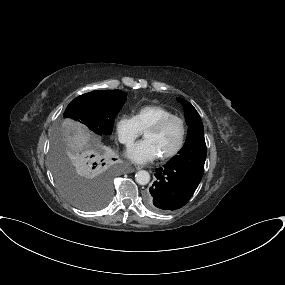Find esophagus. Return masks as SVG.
Segmentation results:
<instances>
[{
    "instance_id": "1",
    "label": "esophagus",
    "mask_w": 285,
    "mask_h": 285,
    "mask_svg": "<svg viewBox=\"0 0 285 285\" xmlns=\"http://www.w3.org/2000/svg\"><path fill=\"white\" fill-rule=\"evenodd\" d=\"M135 169H136V170H140V169H142V166H137L136 168H129V169H128V172H129V173L134 172Z\"/></svg>"
}]
</instances>
